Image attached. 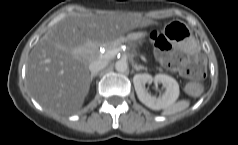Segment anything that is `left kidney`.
<instances>
[{
    "mask_svg": "<svg viewBox=\"0 0 238 145\" xmlns=\"http://www.w3.org/2000/svg\"><path fill=\"white\" fill-rule=\"evenodd\" d=\"M152 81L162 83L166 89L161 96H152L146 90L145 84L151 83ZM133 83L138 99L153 110L165 109L172 105L179 97V85L177 81L166 74H157L155 77L146 73L137 74L133 78Z\"/></svg>",
    "mask_w": 238,
    "mask_h": 145,
    "instance_id": "left-kidney-1",
    "label": "left kidney"
}]
</instances>
